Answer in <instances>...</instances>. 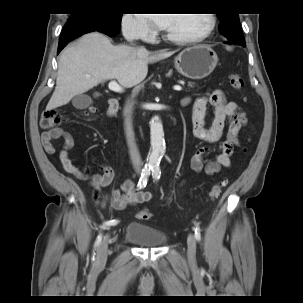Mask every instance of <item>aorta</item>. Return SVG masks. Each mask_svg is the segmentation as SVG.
Masks as SVG:
<instances>
[{
    "label": "aorta",
    "instance_id": "1",
    "mask_svg": "<svg viewBox=\"0 0 303 303\" xmlns=\"http://www.w3.org/2000/svg\"><path fill=\"white\" fill-rule=\"evenodd\" d=\"M151 149L147 157V163L150 166L158 165L162 156L166 151L164 140L163 126L159 117H154L151 120Z\"/></svg>",
    "mask_w": 303,
    "mask_h": 303
}]
</instances>
